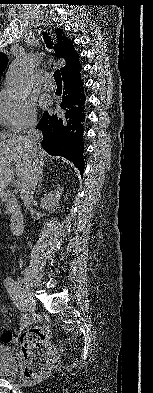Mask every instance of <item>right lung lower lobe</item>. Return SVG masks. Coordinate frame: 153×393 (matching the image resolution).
Segmentation results:
<instances>
[{
  "mask_svg": "<svg viewBox=\"0 0 153 393\" xmlns=\"http://www.w3.org/2000/svg\"><path fill=\"white\" fill-rule=\"evenodd\" d=\"M81 68L62 77L64 89L57 115L44 113L37 128L43 132L42 147L52 156H63L73 162L81 174L84 170L85 97Z\"/></svg>",
  "mask_w": 153,
  "mask_h": 393,
  "instance_id": "1",
  "label": "right lung lower lobe"
}]
</instances>
